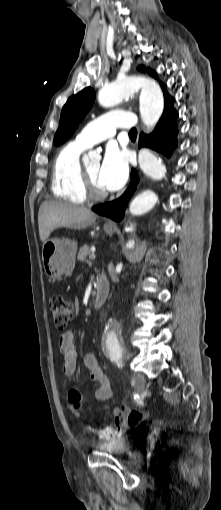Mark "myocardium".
<instances>
[{"label":"myocardium","mask_w":221,"mask_h":510,"mask_svg":"<svg viewBox=\"0 0 221 510\" xmlns=\"http://www.w3.org/2000/svg\"><path fill=\"white\" fill-rule=\"evenodd\" d=\"M82 187H83V193H84L86 200L101 201V200H104L105 198H107V196H108L107 192L98 191L94 187V185L88 175V172H87L86 168H84V167H82Z\"/></svg>","instance_id":"myocardium-1"}]
</instances>
